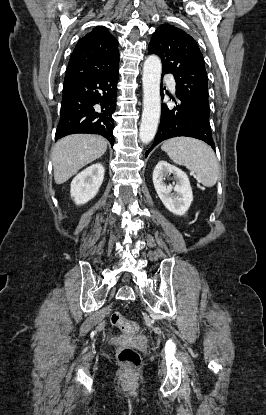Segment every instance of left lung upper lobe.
<instances>
[{
  "mask_svg": "<svg viewBox=\"0 0 266 415\" xmlns=\"http://www.w3.org/2000/svg\"><path fill=\"white\" fill-rule=\"evenodd\" d=\"M148 53L161 58L163 74L174 75L177 98L209 121L208 77L195 40L182 29L163 24L153 33Z\"/></svg>",
  "mask_w": 266,
  "mask_h": 415,
  "instance_id": "left-lung-upper-lobe-1",
  "label": "left lung upper lobe"
}]
</instances>
